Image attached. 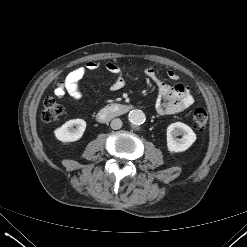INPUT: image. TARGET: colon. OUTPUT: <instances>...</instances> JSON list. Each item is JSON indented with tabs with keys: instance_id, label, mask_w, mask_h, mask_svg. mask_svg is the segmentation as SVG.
I'll return each instance as SVG.
<instances>
[{
	"instance_id": "1",
	"label": "colon",
	"mask_w": 247,
	"mask_h": 247,
	"mask_svg": "<svg viewBox=\"0 0 247 247\" xmlns=\"http://www.w3.org/2000/svg\"><path fill=\"white\" fill-rule=\"evenodd\" d=\"M62 106L55 101L52 97H48L44 100L42 110V120L50 123L59 118L62 114ZM193 126L197 130H204L208 123V113L204 108L198 107L193 111L192 114Z\"/></svg>"
}]
</instances>
